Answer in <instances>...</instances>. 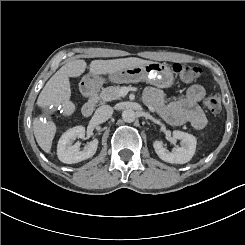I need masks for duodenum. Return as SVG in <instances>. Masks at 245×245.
<instances>
[{
  "label": "duodenum",
  "instance_id": "410a0bca",
  "mask_svg": "<svg viewBox=\"0 0 245 245\" xmlns=\"http://www.w3.org/2000/svg\"><path fill=\"white\" fill-rule=\"evenodd\" d=\"M84 95L88 98L87 102L83 105L82 113L84 116L89 117L95 109V89L91 85H85L83 88Z\"/></svg>",
  "mask_w": 245,
  "mask_h": 245
}]
</instances>
